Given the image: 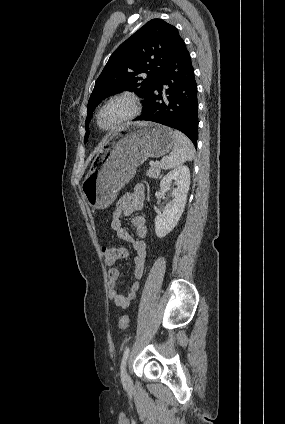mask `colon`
Instances as JSON below:
<instances>
[{
	"label": "colon",
	"mask_w": 285,
	"mask_h": 424,
	"mask_svg": "<svg viewBox=\"0 0 285 424\" xmlns=\"http://www.w3.org/2000/svg\"><path fill=\"white\" fill-rule=\"evenodd\" d=\"M102 253L105 258V261L108 264H113L120 260L123 257L121 248L115 246H104L102 248ZM129 326V320L126 315H123L119 319V327L122 329H127Z\"/></svg>",
	"instance_id": "obj_1"
}]
</instances>
